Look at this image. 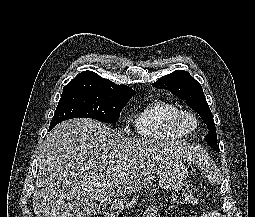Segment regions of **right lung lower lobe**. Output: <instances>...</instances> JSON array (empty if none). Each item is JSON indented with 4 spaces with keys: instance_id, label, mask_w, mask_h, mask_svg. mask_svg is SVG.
Here are the masks:
<instances>
[{
    "instance_id": "1",
    "label": "right lung lower lobe",
    "mask_w": 255,
    "mask_h": 217,
    "mask_svg": "<svg viewBox=\"0 0 255 217\" xmlns=\"http://www.w3.org/2000/svg\"><path fill=\"white\" fill-rule=\"evenodd\" d=\"M53 127H54L53 125H52V126H50V129H49V130H51Z\"/></svg>"
}]
</instances>
